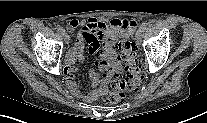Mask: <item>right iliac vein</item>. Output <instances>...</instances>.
<instances>
[{
	"label": "right iliac vein",
	"mask_w": 207,
	"mask_h": 123,
	"mask_svg": "<svg viewBox=\"0 0 207 123\" xmlns=\"http://www.w3.org/2000/svg\"><path fill=\"white\" fill-rule=\"evenodd\" d=\"M64 35V40H65V42L67 43V44H69V42H70V36L67 34V33H65V34H63Z\"/></svg>",
	"instance_id": "obj_1"
}]
</instances>
